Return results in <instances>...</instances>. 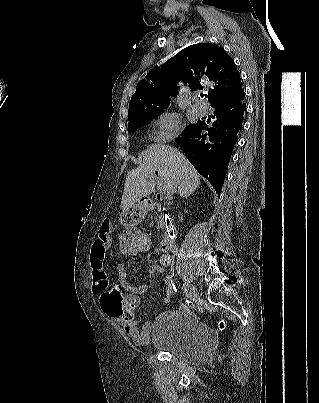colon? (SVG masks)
I'll return each instance as SVG.
<instances>
[{
  "instance_id": "5ec220e1",
  "label": "colon",
  "mask_w": 319,
  "mask_h": 403,
  "mask_svg": "<svg viewBox=\"0 0 319 403\" xmlns=\"http://www.w3.org/2000/svg\"><path fill=\"white\" fill-rule=\"evenodd\" d=\"M121 237L115 241L120 254H125L126 260H139L140 254H150L152 240L149 234H144V226H125ZM224 328V323L220 324Z\"/></svg>"
}]
</instances>
